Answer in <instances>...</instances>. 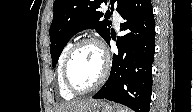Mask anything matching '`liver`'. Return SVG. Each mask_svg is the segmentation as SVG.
Here are the masks:
<instances>
[{
	"mask_svg": "<svg viewBox=\"0 0 193 112\" xmlns=\"http://www.w3.org/2000/svg\"><path fill=\"white\" fill-rule=\"evenodd\" d=\"M97 100H76L59 105L55 112H83L90 108Z\"/></svg>",
	"mask_w": 193,
	"mask_h": 112,
	"instance_id": "6515ba94",
	"label": "liver"
}]
</instances>
